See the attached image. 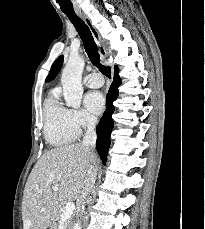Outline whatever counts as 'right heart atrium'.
<instances>
[{"label": "right heart atrium", "mask_w": 205, "mask_h": 229, "mask_svg": "<svg viewBox=\"0 0 205 229\" xmlns=\"http://www.w3.org/2000/svg\"><path fill=\"white\" fill-rule=\"evenodd\" d=\"M69 117L79 133L83 129L92 127L96 122L95 118L83 109H69Z\"/></svg>", "instance_id": "1"}]
</instances>
